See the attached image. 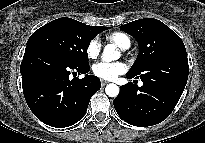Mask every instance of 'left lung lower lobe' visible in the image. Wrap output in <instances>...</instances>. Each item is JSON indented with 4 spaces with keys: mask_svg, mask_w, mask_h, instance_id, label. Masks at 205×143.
Instances as JSON below:
<instances>
[{
    "mask_svg": "<svg viewBox=\"0 0 205 143\" xmlns=\"http://www.w3.org/2000/svg\"><path fill=\"white\" fill-rule=\"evenodd\" d=\"M189 66L186 52H177L159 59L139 75L127 73V78L140 77L143 86L129 82L120 87L113 104L127 123L145 127L165 120L178 103L186 86Z\"/></svg>",
    "mask_w": 205,
    "mask_h": 143,
    "instance_id": "left-lung-lower-lobe-1",
    "label": "left lung lower lobe"
}]
</instances>
